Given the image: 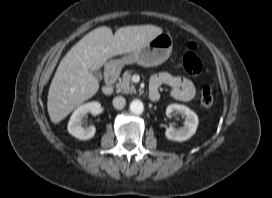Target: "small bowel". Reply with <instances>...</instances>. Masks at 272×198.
<instances>
[{
	"label": "small bowel",
	"instance_id": "c3829d8e",
	"mask_svg": "<svg viewBox=\"0 0 272 198\" xmlns=\"http://www.w3.org/2000/svg\"><path fill=\"white\" fill-rule=\"evenodd\" d=\"M162 84L169 86L171 88L170 95L181 101H189L197 93L196 86L189 78L173 76L166 72L158 73L152 77L150 91H158V87Z\"/></svg>",
	"mask_w": 272,
	"mask_h": 198
}]
</instances>
